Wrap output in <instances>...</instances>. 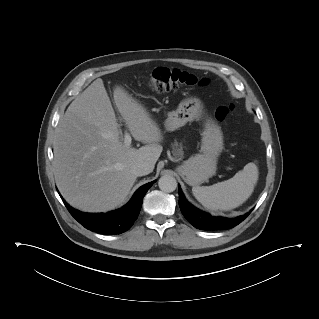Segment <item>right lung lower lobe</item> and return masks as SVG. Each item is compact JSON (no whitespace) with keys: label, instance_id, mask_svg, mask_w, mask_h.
<instances>
[{"label":"right lung lower lobe","instance_id":"98d812e1","mask_svg":"<svg viewBox=\"0 0 319 319\" xmlns=\"http://www.w3.org/2000/svg\"><path fill=\"white\" fill-rule=\"evenodd\" d=\"M154 182L155 181L149 182L141 186L125 206L106 214L83 213L73 209L63 199L62 200L71 215L85 228L102 234H120L130 229L137 219L141 209L142 199Z\"/></svg>","mask_w":319,"mask_h":319}]
</instances>
